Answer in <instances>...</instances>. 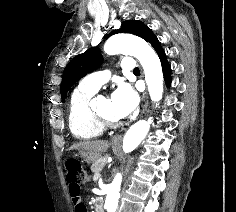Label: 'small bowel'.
Here are the masks:
<instances>
[{"mask_svg":"<svg viewBox=\"0 0 236 212\" xmlns=\"http://www.w3.org/2000/svg\"><path fill=\"white\" fill-rule=\"evenodd\" d=\"M64 179L68 183V198H72V212H88V206L83 205L84 199L81 198L84 190V185H80V179L76 175H65Z\"/></svg>","mask_w":236,"mask_h":212,"instance_id":"small-bowel-1","label":"small bowel"}]
</instances>
